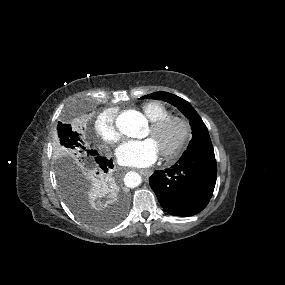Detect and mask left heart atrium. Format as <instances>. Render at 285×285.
<instances>
[{
  "instance_id": "39dd6f15",
  "label": "left heart atrium",
  "mask_w": 285,
  "mask_h": 285,
  "mask_svg": "<svg viewBox=\"0 0 285 285\" xmlns=\"http://www.w3.org/2000/svg\"><path fill=\"white\" fill-rule=\"evenodd\" d=\"M160 148L153 138L130 140L121 144L116 150L120 163L133 167H147L157 161Z\"/></svg>"
}]
</instances>
